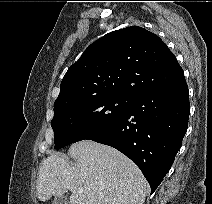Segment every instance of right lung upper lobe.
<instances>
[{
    "instance_id": "right-lung-upper-lobe-1",
    "label": "right lung upper lobe",
    "mask_w": 212,
    "mask_h": 204,
    "mask_svg": "<svg viewBox=\"0 0 212 204\" xmlns=\"http://www.w3.org/2000/svg\"><path fill=\"white\" fill-rule=\"evenodd\" d=\"M184 75L176 57L154 33L131 26L92 43L66 72L54 109L102 96L132 97Z\"/></svg>"
}]
</instances>
